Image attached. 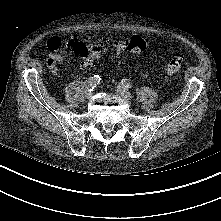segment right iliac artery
I'll use <instances>...</instances> for the list:
<instances>
[{
	"mask_svg": "<svg viewBox=\"0 0 221 221\" xmlns=\"http://www.w3.org/2000/svg\"><path fill=\"white\" fill-rule=\"evenodd\" d=\"M101 81L99 75H94L85 81V87L87 90L92 91Z\"/></svg>",
	"mask_w": 221,
	"mask_h": 221,
	"instance_id": "obj_1",
	"label": "right iliac artery"
}]
</instances>
